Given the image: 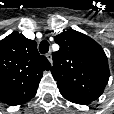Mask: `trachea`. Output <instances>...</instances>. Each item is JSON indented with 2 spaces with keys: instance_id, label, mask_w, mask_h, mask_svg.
Returning a JSON list of instances; mask_svg holds the SVG:
<instances>
[{
  "instance_id": "3493384b",
  "label": "trachea",
  "mask_w": 114,
  "mask_h": 114,
  "mask_svg": "<svg viewBox=\"0 0 114 114\" xmlns=\"http://www.w3.org/2000/svg\"><path fill=\"white\" fill-rule=\"evenodd\" d=\"M39 51L41 54H45L49 51V43L46 40L39 44Z\"/></svg>"
}]
</instances>
